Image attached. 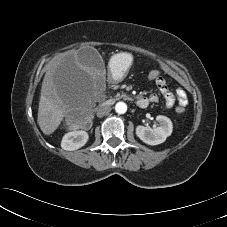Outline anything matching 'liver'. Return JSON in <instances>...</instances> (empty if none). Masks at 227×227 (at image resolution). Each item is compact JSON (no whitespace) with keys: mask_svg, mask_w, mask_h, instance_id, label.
<instances>
[{"mask_svg":"<svg viewBox=\"0 0 227 227\" xmlns=\"http://www.w3.org/2000/svg\"><path fill=\"white\" fill-rule=\"evenodd\" d=\"M78 61V51L58 54L46 66L38 108L41 131L52 134L71 111L84 83L94 80L96 72Z\"/></svg>","mask_w":227,"mask_h":227,"instance_id":"liver-1","label":"liver"}]
</instances>
